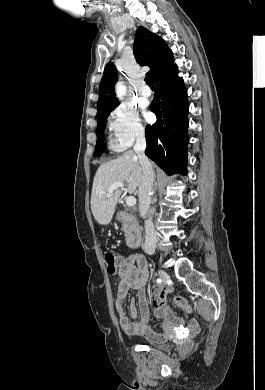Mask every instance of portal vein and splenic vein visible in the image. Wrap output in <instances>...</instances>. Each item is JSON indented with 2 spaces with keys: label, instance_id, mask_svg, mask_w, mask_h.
<instances>
[{
  "label": "portal vein and splenic vein",
  "instance_id": "portal-vein-and-splenic-vein-1",
  "mask_svg": "<svg viewBox=\"0 0 265 390\" xmlns=\"http://www.w3.org/2000/svg\"><path fill=\"white\" fill-rule=\"evenodd\" d=\"M121 188L124 189V184L122 182H116L111 185V187L108 190L107 196H110L116 189ZM126 204L129 207H133L136 205V198L133 196H129L126 198Z\"/></svg>",
  "mask_w": 265,
  "mask_h": 390
}]
</instances>
